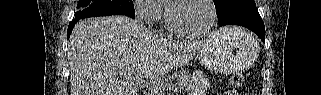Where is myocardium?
I'll return each mask as SVG.
<instances>
[{
	"instance_id": "obj_1",
	"label": "myocardium",
	"mask_w": 321,
	"mask_h": 95,
	"mask_svg": "<svg viewBox=\"0 0 321 95\" xmlns=\"http://www.w3.org/2000/svg\"><path fill=\"white\" fill-rule=\"evenodd\" d=\"M186 1H189V0H174L167 3L166 16H165V23H166L167 29L175 35L185 36V37H197V36L205 35L208 32H210L217 20V10L213 0H203L209 6L210 12H211L210 22L204 29L199 31H193V30L182 29L175 25L172 18V9L174 6Z\"/></svg>"
}]
</instances>
